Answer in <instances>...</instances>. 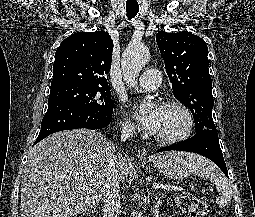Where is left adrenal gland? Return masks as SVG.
<instances>
[{"label":"left adrenal gland","instance_id":"1","mask_svg":"<svg viewBox=\"0 0 255 217\" xmlns=\"http://www.w3.org/2000/svg\"><path fill=\"white\" fill-rule=\"evenodd\" d=\"M149 202H150V192H148V197L146 198V203L149 204ZM159 202L160 200H158L157 203L154 205V208H153L154 214L158 213Z\"/></svg>","mask_w":255,"mask_h":217}]
</instances>
